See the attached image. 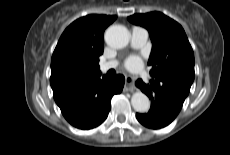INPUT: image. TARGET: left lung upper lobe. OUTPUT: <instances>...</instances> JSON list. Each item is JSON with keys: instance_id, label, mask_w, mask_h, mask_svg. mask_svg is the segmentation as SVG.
<instances>
[{"instance_id": "left-lung-upper-lobe-1", "label": "left lung upper lobe", "mask_w": 230, "mask_h": 155, "mask_svg": "<svg viewBox=\"0 0 230 155\" xmlns=\"http://www.w3.org/2000/svg\"><path fill=\"white\" fill-rule=\"evenodd\" d=\"M128 20L145 27L153 44L150 75L190 91L194 81V53L182 26L160 12L134 14Z\"/></svg>"}]
</instances>
